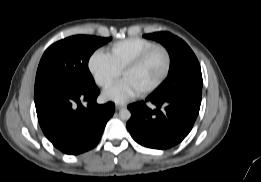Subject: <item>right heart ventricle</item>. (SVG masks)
Instances as JSON below:
<instances>
[{
  "instance_id": "e07e8e85",
  "label": "right heart ventricle",
  "mask_w": 261,
  "mask_h": 182,
  "mask_svg": "<svg viewBox=\"0 0 261 182\" xmlns=\"http://www.w3.org/2000/svg\"><path fill=\"white\" fill-rule=\"evenodd\" d=\"M155 45L154 42L147 39L128 38L110 44L106 48V54L114 66L121 72L138 55Z\"/></svg>"
}]
</instances>
